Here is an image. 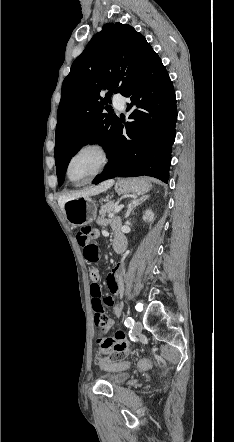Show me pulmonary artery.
Here are the masks:
<instances>
[{"label":"pulmonary artery","instance_id":"1","mask_svg":"<svg viewBox=\"0 0 234 442\" xmlns=\"http://www.w3.org/2000/svg\"><path fill=\"white\" fill-rule=\"evenodd\" d=\"M113 104L117 109L121 111L125 109V99L122 96H115L113 98Z\"/></svg>","mask_w":234,"mask_h":442}]
</instances>
